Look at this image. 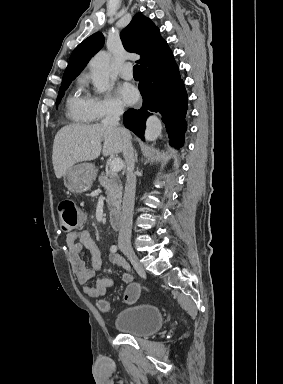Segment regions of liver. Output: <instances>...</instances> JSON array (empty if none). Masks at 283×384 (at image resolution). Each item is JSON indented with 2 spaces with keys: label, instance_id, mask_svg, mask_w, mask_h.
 Segmentation results:
<instances>
[{
  "label": "liver",
  "instance_id": "obj_1",
  "mask_svg": "<svg viewBox=\"0 0 283 384\" xmlns=\"http://www.w3.org/2000/svg\"><path fill=\"white\" fill-rule=\"evenodd\" d=\"M101 142H104L101 146ZM123 150L122 136L117 128L104 124H71L57 132L52 162L56 178L78 162H91L103 156H115Z\"/></svg>",
  "mask_w": 283,
  "mask_h": 384
}]
</instances>
